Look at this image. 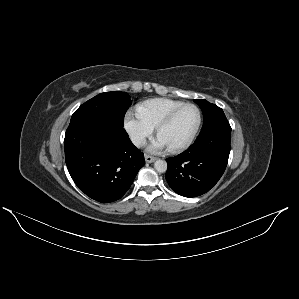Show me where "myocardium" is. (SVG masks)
I'll list each match as a JSON object with an SVG mask.
<instances>
[{
	"label": "myocardium",
	"instance_id": "obj_1",
	"mask_svg": "<svg viewBox=\"0 0 299 299\" xmlns=\"http://www.w3.org/2000/svg\"><path fill=\"white\" fill-rule=\"evenodd\" d=\"M186 107H193L196 109L197 113H198V121H197V124H196V127L193 131V133L191 134V136L188 138V140H186L184 143L180 144V145H177V146H174V147H169L171 151L173 152H178V151H182L186 148H188L195 140L200 128H201V125H202V112H201V109L196 105V104H193V103H184L178 107H176L175 109H173L172 111H170L160 122L159 124L157 125L156 127V131H157V135L159 136L161 131L166 127L168 126L172 121L173 119L176 117V115L184 108Z\"/></svg>",
	"mask_w": 299,
	"mask_h": 299
}]
</instances>
